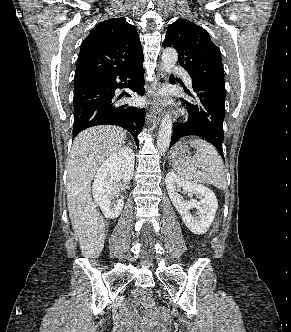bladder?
Segmentation results:
<instances>
[{
  "instance_id": "31cf9c89",
  "label": "bladder",
  "mask_w": 291,
  "mask_h": 332,
  "mask_svg": "<svg viewBox=\"0 0 291 332\" xmlns=\"http://www.w3.org/2000/svg\"><path fill=\"white\" fill-rule=\"evenodd\" d=\"M152 332H165V331H152Z\"/></svg>"
}]
</instances>
